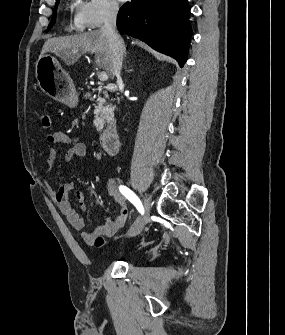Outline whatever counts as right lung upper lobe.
<instances>
[{
  "label": "right lung upper lobe",
  "mask_w": 285,
  "mask_h": 335,
  "mask_svg": "<svg viewBox=\"0 0 285 335\" xmlns=\"http://www.w3.org/2000/svg\"><path fill=\"white\" fill-rule=\"evenodd\" d=\"M60 0H56L57 3H59Z\"/></svg>",
  "instance_id": "cb5924a9"
}]
</instances>
